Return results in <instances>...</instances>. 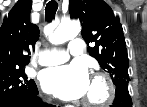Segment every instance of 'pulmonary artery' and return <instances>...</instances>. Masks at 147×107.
<instances>
[{"instance_id": "e3ab8cb5", "label": "pulmonary artery", "mask_w": 147, "mask_h": 107, "mask_svg": "<svg viewBox=\"0 0 147 107\" xmlns=\"http://www.w3.org/2000/svg\"><path fill=\"white\" fill-rule=\"evenodd\" d=\"M82 43L81 38H75L69 43L67 51L47 49L42 52L39 63L43 66H50L66 62L70 55L77 56L83 52Z\"/></svg>"}]
</instances>
